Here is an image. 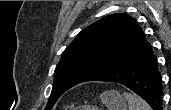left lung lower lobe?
Wrapping results in <instances>:
<instances>
[{"label": "left lung lower lobe", "mask_w": 171, "mask_h": 110, "mask_svg": "<svg viewBox=\"0 0 171 110\" xmlns=\"http://www.w3.org/2000/svg\"><path fill=\"white\" fill-rule=\"evenodd\" d=\"M156 61L145 39L122 62L91 81L120 83L142 97L154 110H163L161 74Z\"/></svg>", "instance_id": "1"}]
</instances>
